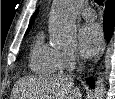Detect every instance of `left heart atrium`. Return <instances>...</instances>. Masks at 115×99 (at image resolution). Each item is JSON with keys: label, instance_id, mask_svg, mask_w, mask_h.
<instances>
[{"label": "left heart atrium", "instance_id": "left-heart-atrium-1", "mask_svg": "<svg viewBox=\"0 0 115 99\" xmlns=\"http://www.w3.org/2000/svg\"><path fill=\"white\" fill-rule=\"evenodd\" d=\"M103 34L101 27L96 23L83 26L79 32V47L83 55L91 56L96 53L102 44Z\"/></svg>", "mask_w": 115, "mask_h": 99}]
</instances>
